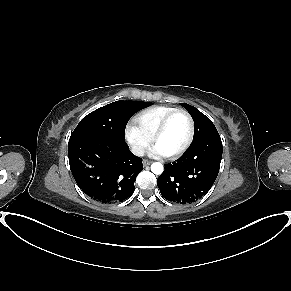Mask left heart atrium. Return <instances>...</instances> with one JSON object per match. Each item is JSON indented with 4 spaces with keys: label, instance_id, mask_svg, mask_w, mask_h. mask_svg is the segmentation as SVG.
Segmentation results:
<instances>
[{
    "label": "left heart atrium",
    "instance_id": "39dd6f15",
    "mask_svg": "<svg viewBox=\"0 0 291 291\" xmlns=\"http://www.w3.org/2000/svg\"><path fill=\"white\" fill-rule=\"evenodd\" d=\"M153 151L155 154L159 155V156H164L165 154L158 148V147H154Z\"/></svg>",
    "mask_w": 291,
    "mask_h": 291
}]
</instances>
